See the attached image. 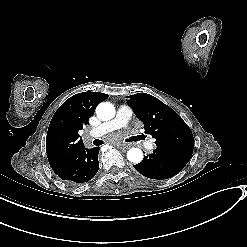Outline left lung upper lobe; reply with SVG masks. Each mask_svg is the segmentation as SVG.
Segmentation results:
<instances>
[{
  "label": "left lung upper lobe",
  "instance_id": "1",
  "mask_svg": "<svg viewBox=\"0 0 247 247\" xmlns=\"http://www.w3.org/2000/svg\"><path fill=\"white\" fill-rule=\"evenodd\" d=\"M127 103L144 123L145 133L156 139L157 148L190 160L194 138L190 128L173 109L146 93L129 96Z\"/></svg>",
  "mask_w": 247,
  "mask_h": 247
}]
</instances>
